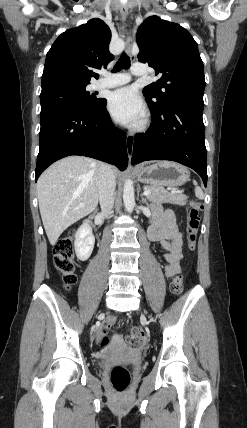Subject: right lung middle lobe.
I'll use <instances>...</instances> for the list:
<instances>
[{
  "mask_svg": "<svg viewBox=\"0 0 247 428\" xmlns=\"http://www.w3.org/2000/svg\"><path fill=\"white\" fill-rule=\"evenodd\" d=\"M40 101L41 111L66 107L91 112L100 106L104 99L95 98V94L91 95L86 86H63L41 92Z\"/></svg>",
  "mask_w": 247,
  "mask_h": 428,
  "instance_id": "obj_1",
  "label": "right lung middle lobe"
}]
</instances>
